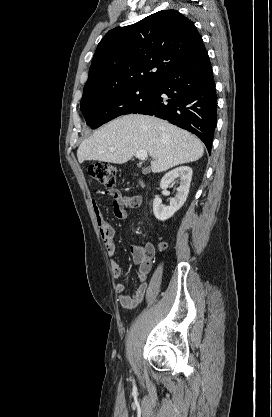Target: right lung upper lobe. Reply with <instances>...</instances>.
I'll list each match as a JSON object with an SVG mask.
<instances>
[{
	"label": "right lung upper lobe",
	"instance_id": "obj_1",
	"mask_svg": "<svg viewBox=\"0 0 272 417\" xmlns=\"http://www.w3.org/2000/svg\"><path fill=\"white\" fill-rule=\"evenodd\" d=\"M202 46L193 22L176 10H162L112 29L97 46L83 95L100 96L154 83Z\"/></svg>",
	"mask_w": 272,
	"mask_h": 417
}]
</instances>
